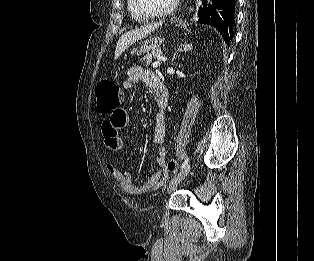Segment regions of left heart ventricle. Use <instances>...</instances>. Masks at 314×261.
<instances>
[{
    "label": "left heart ventricle",
    "instance_id": "1",
    "mask_svg": "<svg viewBox=\"0 0 314 261\" xmlns=\"http://www.w3.org/2000/svg\"><path fill=\"white\" fill-rule=\"evenodd\" d=\"M142 5L151 11H161L168 8L173 0H141Z\"/></svg>",
    "mask_w": 314,
    "mask_h": 261
}]
</instances>
